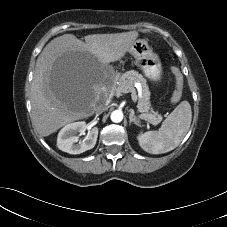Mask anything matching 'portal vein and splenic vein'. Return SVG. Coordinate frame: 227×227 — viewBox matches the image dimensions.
Returning a JSON list of instances; mask_svg holds the SVG:
<instances>
[{"label": "portal vein and splenic vein", "instance_id": "portal-vein-and-splenic-vein-1", "mask_svg": "<svg viewBox=\"0 0 227 227\" xmlns=\"http://www.w3.org/2000/svg\"><path fill=\"white\" fill-rule=\"evenodd\" d=\"M138 91L141 94V85L138 83ZM119 92L121 93H131V98L133 102L137 101L136 90L134 87H121L119 88Z\"/></svg>", "mask_w": 227, "mask_h": 227}]
</instances>
